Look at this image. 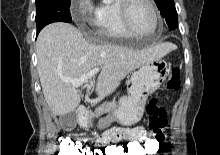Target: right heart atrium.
I'll use <instances>...</instances> for the list:
<instances>
[{
  "mask_svg": "<svg viewBox=\"0 0 220 155\" xmlns=\"http://www.w3.org/2000/svg\"><path fill=\"white\" fill-rule=\"evenodd\" d=\"M74 19L82 24L97 26L96 8L91 0H79L76 6Z\"/></svg>",
  "mask_w": 220,
  "mask_h": 155,
  "instance_id": "obj_1",
  "label": "right heart atrium"
}]
</instances>
